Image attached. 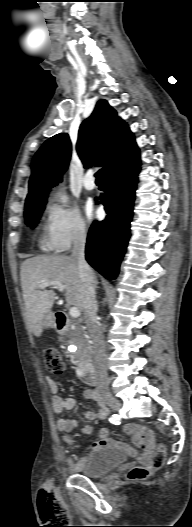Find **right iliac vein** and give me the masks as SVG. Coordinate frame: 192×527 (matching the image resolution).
Segmentation results:
<instances>
[{
    "instance_id": "right-iliac-vein-1",
    "label": "right iliac vein",
    "mask_w": 192,
    "mask_h": 527,
    "mask_svg": "<svg viewBox=\"0 0 192 527\" xmlns=\"http://www.w3.org/2000/svg\"><path fill=\"white\" fill-rule=\"evenodd\" d=\"M104 400L107 403V405L114 411L119 410L121 407L120 401L116 399L115 397H113L110 393L104 394Z\"/></svg>"
}]
</instances>
